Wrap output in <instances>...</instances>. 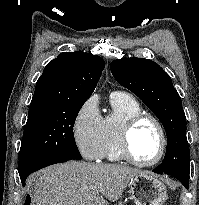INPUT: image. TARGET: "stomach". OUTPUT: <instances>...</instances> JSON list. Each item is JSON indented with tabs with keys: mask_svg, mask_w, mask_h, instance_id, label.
Returning a JSON list of instances; mask_svg holds the SVG:
<instances>
[{
	"mask_svg": "<svg viewBox=\"0 0 199 205\" xmlns=\"http://www.w3.org/2000/svg\"><path fill=\"white\" fill-rule=\"evenodd\" d=\"M129 192L136 205H162L167 199L166 186L148 173L133 177Z\"/></svg>",
	"mask_w": 199,
	"mask_h": 205,
	"instance_id": "stomach-1",
	"label": "stomach"
}]
</instances>
